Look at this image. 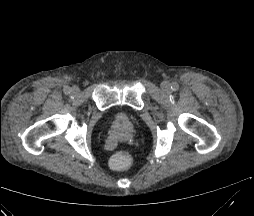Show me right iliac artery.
Masks as SVG:
<instances>
[{
  "instance_id": "right-iliac-artery-1",
  "label": "right iliac artery",
  "mask_w": 254,
  "mask_h": 216,
  "mask_svg": "<svg viewBox=\"0 0 254 216\" xmlns=\"http://www.w3.org/2000/svg\"><path fill=\"white\" fill-rule=\"evenodd\" d=\"M64 92H65L66 94H69V93L71 92V89H70L69 87H65V88H64Z\"/></svg>"
}]
</instances>
